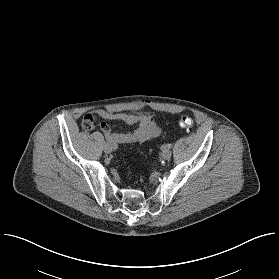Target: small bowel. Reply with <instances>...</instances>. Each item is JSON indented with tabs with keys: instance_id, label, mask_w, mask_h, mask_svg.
I'll use <instances>...</instances> for the list:
<instances>
[{
	"instance_id": "c3829d8e",
	"label": "small bowel",
	"mask_w": 279,
	"mask_h": 279,
	"mask_svg": "<svg viewBox=\"0 0 279 279\" xmlns=\"http://www.w3.org/2000/svg\"><path fill=\"white\" fill-rule=\"evenodd\" d=\"M98 117L108 121H122L127 124H137L134 131L113 132L106 123L100 124V130L107 136L112 145L130 144L144 142L157 137L160 133V126L153 115L150 114H127L116 113L106 109H96L87 113L83 118V124H89L91 128L94 125V119Z\"/></svg>"
}]
</instances>
